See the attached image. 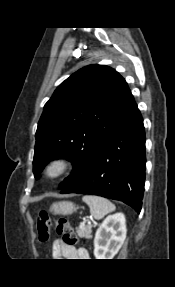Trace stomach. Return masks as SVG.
I'll use <instances>...</instances> for the list:
<instances>
[{"mask_svg":"<svg viewBox=\"0 0 175 287\" xmlns=\"http://www.w3.org/2000/svg\"><path fill=\"white\" fill-rule=\"evenodd\" d=\"M75 210V205L69 201H60L52 204L51 211L54 214L68 215L72 214Z\"/></svg>","mask_w":175,"mask_h":287,"instance_id":"obj_1","label":"stomach"}]
</instances>
